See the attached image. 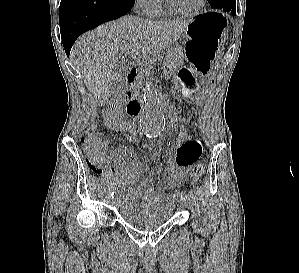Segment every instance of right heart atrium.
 <instances>
[{
	"label": "right heart atrium",
	"mask_w": 299,
	"mask_h": 273,
	"mask_svg": "<svg viewBox=\"0 0 299 273\" xmlns=\"http://www.w3.org/2000/svg\"><path fill=\"white\" fill-rule=\"evenodd\" d=\"M134 1L137 8L147 14H149V12L161 2V0H134Z\"/></svg>",
	"instance_id": "1"
}]
</instances>
